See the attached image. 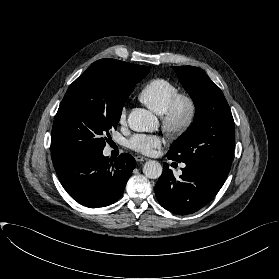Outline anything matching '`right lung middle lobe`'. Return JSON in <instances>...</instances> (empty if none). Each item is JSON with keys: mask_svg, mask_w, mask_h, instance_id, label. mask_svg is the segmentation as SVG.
<instances>
[{"mask_svg": "<svg viewBox=\"0 0 279 279\" xmlns=\"http://www.w3.org/2000/svg\"><path fill=\"white\" fill-rule=\"evenodd\" d=\"M136 83L124 85L104 69H87L68 88L51 134L53 163L103 151Z\"/></svg>", "mask_w": 279, "mask_h": 279, "instance_id": "1", "label": "right lung middle lobe"}]
</instances>
